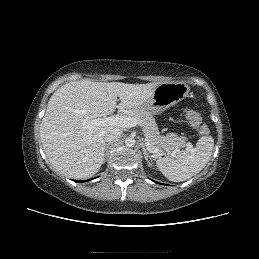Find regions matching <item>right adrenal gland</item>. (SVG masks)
Returning a JSON list of instances; mask_svg holds the SVG:
<instances>
[{"instance_id":"obj_1","label":"right adrenal gland","mask_w":259,"mask_h":259,"mask_svg":"<svg viewBox=\"0 0 259 259\" xmlns=\"http://www.w3.org/2000/svg\"><path fill=\"white\" fill-rule=\"evenodd\" d=\"M109 145H110V143L106 144V146H105L104 160H105V158H106V156H107Z\"/></svg>"}]
</instances>
